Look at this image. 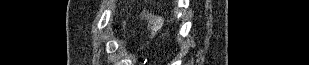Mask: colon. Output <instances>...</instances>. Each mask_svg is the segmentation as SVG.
Segmentation results:
<instances>
[{
	"label": "colon",
	"instance_id": "5ec220e1",
	"mask_svg": "<svg viewBox=\"0 0 309 65\" xmlns=\"http://www.w3.org/2000/svg\"><path fill=\"white\" fill-rule=\"evenodd\" d=\"M141 16L147 22L146 39L155 37L161 26V18L147 9L141 11Z\"/></svg>",
	"mask_w": 309,
	"mask_h": 65
}]
</instances>
